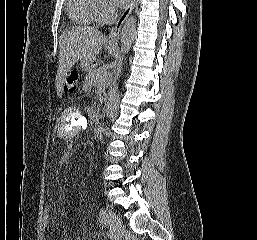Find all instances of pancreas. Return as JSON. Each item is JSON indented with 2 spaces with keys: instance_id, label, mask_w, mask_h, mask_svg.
I'll use <instances>...</instances> for the list:
<instances>
[{
  "instance_id": "obj_1",
  "label": "pancreas",
  "mask_w": 257,
  "mask_h": 240,
  "mask_svg": "<svg viewBox=\"0 0 257 240\" xmlns=\"http://www.w3.org/2000/svg\"><path fill=\"white\" fill-rule=\"evenodd\" d=\"M106 77H107V73L104 67H101L99 69H91L90 71H88L85 77L83 87L85 89L92 88V87H101L102 82L100 81V79H104Z\"/></svg>"
}]
</instances>
